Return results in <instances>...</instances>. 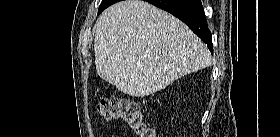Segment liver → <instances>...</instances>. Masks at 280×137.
Masks as SVG:
<instances>
[{
	"label": "liver",
	"instance_id": "1",
	"mask_svg": "<svg viewBox=\"0 0 280 137\" xmlns=\"http://www.w3.org/2000/svg\"><path fill=\"white\" fill-rule=\"evenodd\" d=\"M94 52L97 74L135 97L211 65L207 47L187 25L141 0L118 2L101 14Z\"/></svg>",
	"mask_w": 280,
	"mask_h": 137
}]
</instances>
